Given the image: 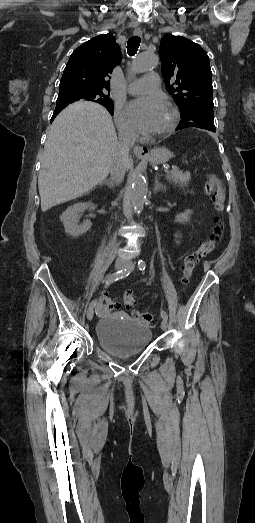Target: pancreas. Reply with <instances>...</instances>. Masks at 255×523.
<instances>
[{
    "label": "pancreas",
    "instance_id": "pancreas-1",
    "mask_svg": "<svg viewBox=\"0 0 255 523\" xmlns=\"http://www.w3.org/2000/svg\"><path fill=\"white\" fill-rule=\"evenodd\" d=\"M168 178L169 180H172V182H175V184H188L191 176L189 172H186V174H182V172L175 174L173 172L172 174H169Z\"/></svg>",
    "mask_w": 255,
    "mask_h": 523
}]
</instances>
